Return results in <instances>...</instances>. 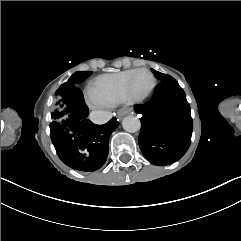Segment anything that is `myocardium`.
Listing matches in <instances>:
<instances>
[{
  "mask_svg": "<svg viewBox=\"0 0 241 241\" xmlns=\"http://www.w3.org/2000/svg\"><path fill=\"white\" fill-rule=\"evenodd\" d=\"M143 71L148 72V74L152 76V84L151 86H148V90L145 91V95H142V97L135 99V104H140L141 102H145V100H147V96L151 95V91H153V89H156L157 75H155V71H153V69H150V67H147V66H142V69L135 70L134 72L131 73V75H128V78H126V85L129 82H131L133 78H136L137 76H140V74H143ZM126 94H131L127 91V88H126Z\"/></svg>",
  "mask_w": 241,
  "mask_h": 241,
  "instance_id": "f54148a6",
  "label": "myocardium"
}]
</instances>
